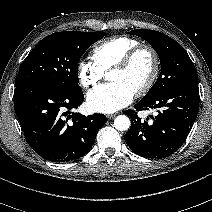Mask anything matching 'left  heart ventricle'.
Returning <instances> with one entry per match:
<instances>
[{"instance_id": "1", "label": "left heart ventricle", "mask_w": 212, "mask_h": 212, "mask_svg": "<svg viewBox=\"0 0 212 212\" xmlns=\"http://www.w3.org/2000/svg\"><path fill=\"white\" fill-rule=\"evenodd\" d=\"M152 69V60L149 54H140L133 65L125 71L113 70L108 73V80L121 82L134 92L148 79Z\"/></svg>"}]
</instances>
